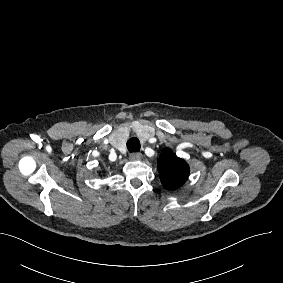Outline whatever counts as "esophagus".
<instances>
[{"instance_id":"esophagus-1","label":"esophagus","mask_w":283,"mask_h":283,"mask_svg":"<svg viewBox=\"0 0 283 283\" xmlns=\"http://www.w3.org/2000/svg\"><path fill=\"white\" fill-rule=\"evenodd\" d=\"M142 158H143V155L140 152H133V153H130L129 155V159L131 161H139Z\"/></svg>"}]
</instances>
